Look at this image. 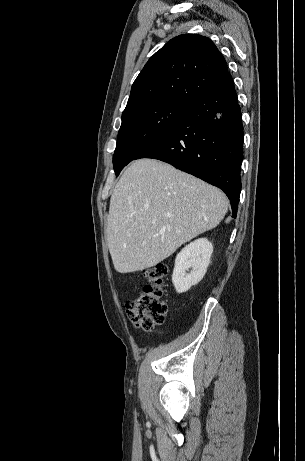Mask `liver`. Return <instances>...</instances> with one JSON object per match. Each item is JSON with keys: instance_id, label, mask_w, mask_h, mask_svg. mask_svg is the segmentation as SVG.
I'll return each mask as SVG.
<instances>
[{"instance_id": "liver-1", "label": "liver", "mask_w": 305, "mask_h": 461, "mask_svg": "<svg viewBox=\"0 0 305 461\" xmlns=\"http://www.w3.org/2000/svg\"><path fill=\"white\" fill-rule=\"evenodd\" d=\"M227 210L218 188L161 161L136 160L110 199L107 241L115 270L155 266L219 225Z\"/></svg>"}]
</instances>
